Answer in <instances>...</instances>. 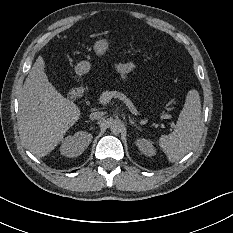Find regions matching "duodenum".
Segmentation results:
<instances>
[{
    "label": "duodenum",
    "instance_id": "410a0bca",
    "mask_svg": "<svg viewBox=\"0 0 233 233\" xmlns=\"http://www.w3.org/2000/svg\"><path fill=\"white\" fill-rule=\"evenodd\" d=\"M85 93V88L82 86L75 87L71 89L68 93V98L72 101L77 100L82 97Z\"/></svg>",
    "mask_w": 233,
    "mask_h": 233
}]
</instances>
